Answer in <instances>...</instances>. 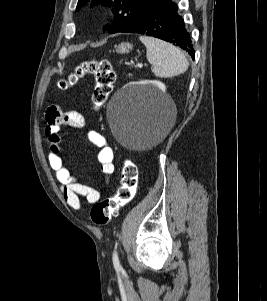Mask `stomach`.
Wrapping results in <instances>:
<instances>
[{
  "label": "stomach",
  "mask_w": 267,
  "mask_h": 301,
  "mask_svg": "<svg viewBox=\"0 0 267 301\" xmlns=\"http://www.w3.org/2000/svg\"><path fill=\"white\" fill-rule=\"evenodd\" d=\"M133 49V46L130 43L123 42L116 47V52L118 54L129 53Z\"/></svg>",
  "instance_id": "0dacf381"
}]
</instances>
